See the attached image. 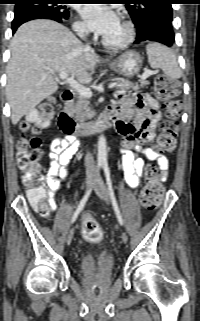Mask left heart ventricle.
<instances>
[{
  "instance_id": "b2bd125f",
  "label": "left heart ventricle",
  "mask_w": 200,
  "mask_h": 321,
  "mask_svg": "<svg viewBox=\"0 0 200 321\" xmlns=\"http://www.w3.org/2000/svg\"><path fill=\"white\" fill-rule=\"evenodd\" d=\"M127 36V30L121 20L117 23V25L104 36V38L111 43H119L122 42Z\"/></svg>"
}]
</instances>
